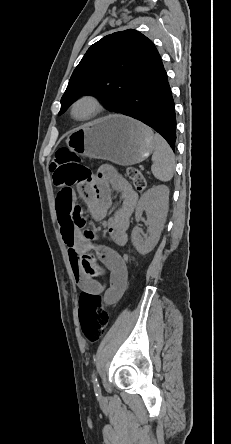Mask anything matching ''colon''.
Here are the masks:
<instances>
[{"label": "colon", "instance_id": "1", "mask_svg": "<svg viewBox=\"0 0 231 444\" xmlns=\"http://www.w3.org/2000/svg\"><path fill=\"white\" fill-rule=\"evenodd\" d=\"M54 182L58 185L71 187L72 185L87 181L91 178V172L80 161L79 157L68 148L59 149L50 165ZM127 175L139 191L146 188V180L142 173L134 167L127 169ZM79 213V209L76 211ZM77 226L88 235L91 232L85 229V220L79 217ZM125 258L131 260L134 253L128 249ZM80 322L83 334L90 342H95L104 334L109 318V310L103 306L101 297L96 294L82 292L79 298Z\"/></svg>", "mask_w": 231, "mask_h": 444}]
</instances>
